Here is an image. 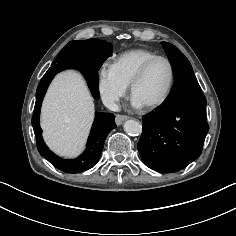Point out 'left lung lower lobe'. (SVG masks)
<instances>
[{
  "label": "left lung lower lobe",
  "instance_id": "left-lung-lower-lobe-1",
  "mask_svg": "<svg viewBox=\"0 0 236 236\" xmlns=\"http://www.w3.org/2000/svg\"><path fill=\"white\" fill-rule=\"evenodd\" d=\"M208 130L206 99L194 73H187L175 79L160 107L143 116L137 148L146 166L173 173L200 156Z\"/></svg>",
  "mask_w": 236,
  "mask_h": 236
}]
</instances>
